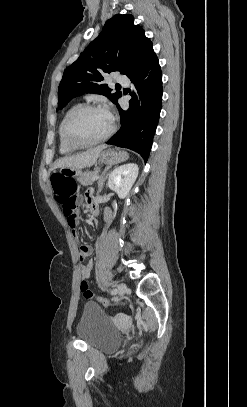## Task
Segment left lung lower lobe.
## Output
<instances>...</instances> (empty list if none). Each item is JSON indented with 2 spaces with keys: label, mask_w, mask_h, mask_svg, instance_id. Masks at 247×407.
<instances>
[{
  "label": "left lung lower lobe",
  "mask_w": 247,
  "mask_h": 407,
  "mask_svg": "<svg viewBox=\"0 0 247 407\" xmlns=\"http://www.w3.org/2000/svg\"><path fill=\"white\" fill-rule=\"evenodd\" d=\"M138 91L129 102L128 110L116 104L122 126L107 144L124 147L139 153L145 162L149 158L153 136L159 122L162 105V73L158 58L152 50L133 74L129 76Z\"/></svg>",
  "instance_id": "1"
}]
</instances>
